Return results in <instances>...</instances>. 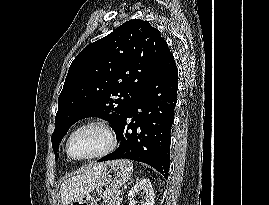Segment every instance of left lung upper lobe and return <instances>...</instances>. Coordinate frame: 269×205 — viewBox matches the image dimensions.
<instances>
[{
  "instance_id": "1",
  "label": "left lung upper lobe",
  "mask_w": 269,
  "mask_h": 205,
  "mask_svg": "<svg viewBox=\"0 0 269 205\" xmlns=\"http://www.w3.org/2000/svg\"><path fill=\"white\" fill-rule=\"evenodd\" d=\"M170 54L159 30L139 19L123 23L86 46L71 63L58 98L52 134L55 160L60 141L83 117L96 115L116 131L133 101Z\"/></svg>"
}]
</instances>
